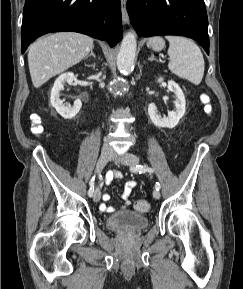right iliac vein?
Listing matches in <instances>:
<instances>
[{
	"mask_svg": "<svg viewBox=\"0 0 243 289\" xmlns=\"http://www.w3.org/2000/svg\"><path fill=\"white\" fill-rule=\"evenodd\" d=\"M111 157H112V153L110 151L103 150L101 152L97 165H96V170L98 173L104 168V166L111 159ZM100 198H101V192L99 188H96L93 194V200L94 202H99Z\"/></svg>",
	"mask_w": 243,
	"mask_h": 289,
	"instance_id": "obj_1",
	"label": "right iliac vein"
}]
</instances>
